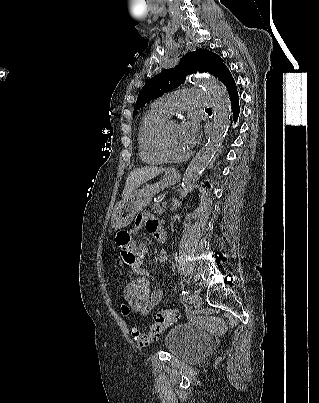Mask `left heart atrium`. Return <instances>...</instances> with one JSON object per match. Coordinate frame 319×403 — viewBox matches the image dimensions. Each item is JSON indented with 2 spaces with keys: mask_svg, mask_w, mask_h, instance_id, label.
I'll return each mask as SVG.
<instances>
[{
  "mask_svg": "<svg viewBox=\"0 0 319 403\" xmlns=\"http://www.w3.org/2000/svg\"><path fill=\"white\" fill-rule=\"evenodd\" d=\"M180 129L183 141L189 149L197 141L198 124L194 119H189L180 125Z\"/></svg>",
  "mask_w": 319,
  "mask_h": 403,
  "instance_id": "1",
  "label": "left heart atrium"
}]
</instances>
